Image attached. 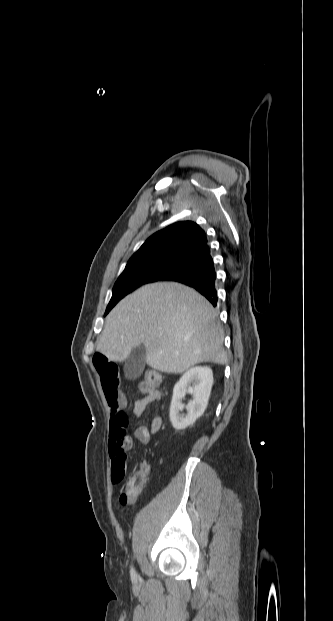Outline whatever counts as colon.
Listing matches in <instances>:
<instances>
[{"mask_svg":"<svg viewBox=\"0 0 333 621\" xmlns=\"http://www.w3.org/2000/svg\"><path fill=\"white\" fill-rule=\"evenodd\" d=\"M146 381L153 387L160 386L162 378L156 370H148L145 374ZM126 467L123 464H115L111 468V479L115 484L121 483L125 478ZM149 466L143 462L132 472L127 478L122 493L120 495V503L127 506L133 503L142 489L145 487Z\"/></svg>","mask_w":333,"mask_h":621,"instance_id":"obj_1","label":"colon"}]
</instances>
